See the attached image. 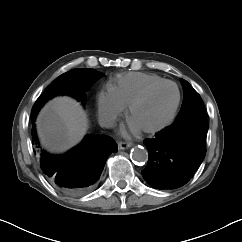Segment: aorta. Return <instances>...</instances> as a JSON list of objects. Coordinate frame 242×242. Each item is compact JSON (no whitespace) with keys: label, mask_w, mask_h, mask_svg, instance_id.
Returning a JSON list of instances; mask_svg holds the SVG:
<instances>
[{"label":"aorta","mask_w":242,"mask_h":242,"mask_svg":"<svg viewBox=\"0 0 242 242\" xmlns=\"http://www.w3.org/2000/svg\"><path fill=\"white\" fill-rule=\"evenodd\" d=\"M131 158L136 162H145L148 159V152L142 146H135L131 150Z\"/></svg>","instance_id":"1"}]
</instances>
